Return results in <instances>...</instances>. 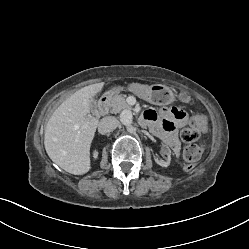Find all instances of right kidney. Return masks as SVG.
Masks as SVG:
<instances>
[{"label": "right kidney", "instance_id": "ca27d5eb", "mask_svg": "<svg viewBox=\"0 0 249 249\" xmlns=\"http://www.w3.org/2000/svg\"><path fill=\"white\" fill-rule=\"evenodd\" d=\"M97 156H98V152L95 150L94 153H93V157L97 158Z\"/></svg>", "mask_w": 249, "mask_h": 249}]
</instances>
